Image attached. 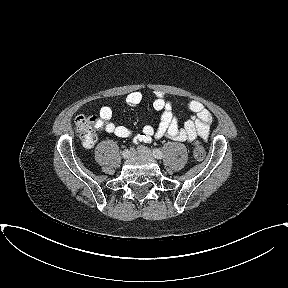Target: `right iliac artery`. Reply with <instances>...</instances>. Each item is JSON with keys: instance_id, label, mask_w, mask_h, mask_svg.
Segmentation results:
<instances>
[{"instance_id": "1", "label": "right iliac artery", "mask_w": 288, "mask_h": 288, "mask_svg": "<svg viewBox=\"0 0 288 288\" xmlns=\"http://www.w3.org/2000/svg\"><path fill=\"white\" fill-rule=\"evenodd\" d=\"M122 158L123 159H128L129 158V150L128 149H123L122 150Z\"/></svg>"}]
</instances>
